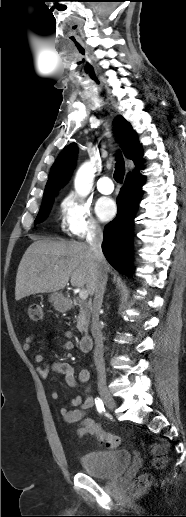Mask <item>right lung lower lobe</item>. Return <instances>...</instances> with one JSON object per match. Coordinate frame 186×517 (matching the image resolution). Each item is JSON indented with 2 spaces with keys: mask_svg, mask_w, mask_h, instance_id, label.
Segmentation results:
<instances>
[{
  "mask_svg": "<svg viewBox=\"0 0 186 517\" xmlns=\"http://www.w3.org/2000/svg\"><path fill=\"white\" fill-rule=\"evenodd\" d=\"M143 179L138 171L127 176L117 198V216L104 230L103 253L109 263L123 274L130 271L133 219L142 196Z\"/></svg>",
  "mask_w": 186,
  "mask_h": 517,
  "instance_id": "1",
  "label": "right lung lower lobe"
}]
</instances>
